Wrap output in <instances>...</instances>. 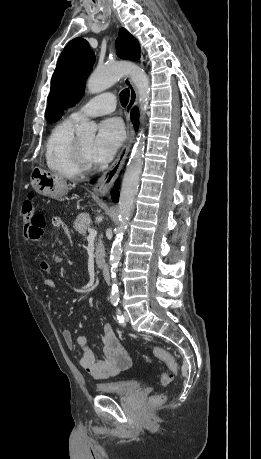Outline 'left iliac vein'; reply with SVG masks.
<instances>
[{"instance_id":"1","label":"left iliac vein","mask_w":261,"mask_h":459,"mask_svg":"<svg viewBox=\"0 0 261 459\" xmlns=\"http://www.w3.org/2000/svg\"><path fill=\"white\" fill-rule=\"evenodd\" d=\"M123 315H124V320H125L126 322H128V321H129V314H128V312L124 311Z\"/></svg>"}]
</instances>
